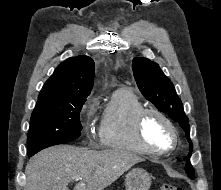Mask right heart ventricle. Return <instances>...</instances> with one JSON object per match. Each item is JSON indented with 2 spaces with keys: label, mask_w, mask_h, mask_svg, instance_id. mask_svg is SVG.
<instances>
[{
  "label": "right heart ventricle",
  "mask_w": 221,
  "mask_h": 190,
  "mask_svg": "<svg viewBox=\"0 0 221 190\" xmlns=\"http://www.w3.org/2000/svg\"><path fill=\"white\" fill-rule=\"evenodd\" d=\"M144 108L143 101L132 89L120 87L114 90L99 124L101 145L108 149L148 155L134 134L135 118Z\"/></svg>",
  "instance_id": "e07e8e85"
}]
</instances>
